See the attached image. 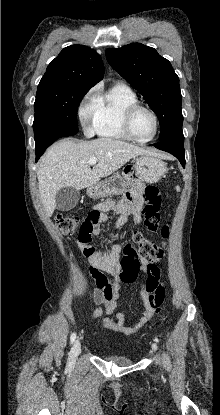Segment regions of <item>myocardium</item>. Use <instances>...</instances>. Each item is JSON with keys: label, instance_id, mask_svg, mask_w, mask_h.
Instances as JSON below:
<instances>
[{"label": "myocardium", "instance_id": "myocardium-1", "mask_svg": "<svg viewBox=\"0 0 220 415\" xmlns=\"http://www.w3.org/2000/svg\"><path fill=\"white\" fill-rule=\"evenodd\" d=\"M138 110H145L153 117L154 124H155V130H154L153 135L148 139H139L134 135V133L132 131V127H131L132 118ZM122 123H123L124 131L129 136V138L131 140H134V141H136L138 143H142V144H145V143H148V142L152 141L157 136V134L159 132V119H158V116L155 113V111L153 109H151L150 107L139 104V103L132 104V105H130L129 107H127L125 109L124 114H123Z\"/></svg>", "mask_w": 220, "mask_h": 415}]
</instances>
